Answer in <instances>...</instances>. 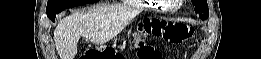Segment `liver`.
Masks as SVG:
<instances>
[{
	"label": "liver",
	"mask_w": 261,
	"mask_h": 59,
	"mask_svg": "<svg viewBox=\"0 0 261 59\" xmlns=\"http://www.w3.org/2000/svg\"><path fill=\"white\" fill-rule=\"evenodd\" d=\"M130 18L115 8L99 5L73 12L62 18L54 31V41L60 59H74L81 36L96 44L116 37Z\"/></svg>",
	"instance_id": "liver-1"
}]
</instances>
